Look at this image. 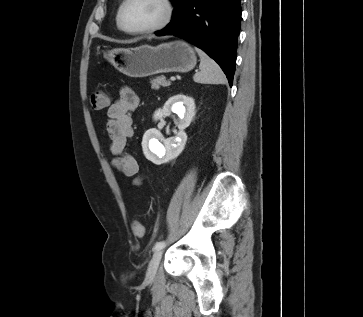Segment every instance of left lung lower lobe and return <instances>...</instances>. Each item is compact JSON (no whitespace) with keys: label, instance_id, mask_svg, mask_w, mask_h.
<instances>
[{"label":"left lung lower lobe","instance_id":"0a47b994","mask_svg":"<svg viewBox=\"0 0 363 317\" xmlns=\"http://www.w3.org/2000/svg\"><path fill=\"white\" fill-rule=\"evenodd\" d=\"M175 9L157 36L184 38L208 53L223 69L232 86L240 31V0H173Z\"/></svg>","mask_w":363,"mask_h":317}]
</instances>
